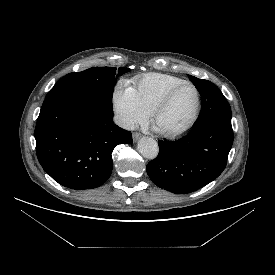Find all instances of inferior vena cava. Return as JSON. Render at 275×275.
Instances as JSON below:
<instances>
[{
  "label": "inferior vena cava",
  "instance_id": "obj_1",
  "mask_svg": "<svg viewBox=\"0 0 275 275\" xmlns=\"http://www.w3.org/2000/svg\"><path fill=\"white\" fill-rule=\"evenodd\" d=\"M114 122L123 129H126V130L134 129V122L132 121V119L122 114H116L114 116Z\"/></svg>",
  "mask_w": 275,
  "mask_h": 275
}]
</instances>
